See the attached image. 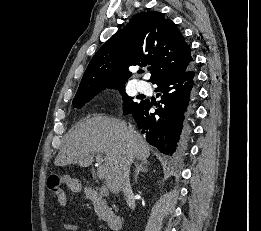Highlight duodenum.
<instances>
[{
    "mask_svg": "<svg viewBox=\"0 0 261 231\" xmlns=\"http://www.w3.org/2000/svg\"><path fill=\"white\" fill-rule=\"evenodd\" d=\"M83 193L93 202L97 213L103 217L111 230L118 231L121 228V219L111 212L103 195L90 187H83Z\"/></svg>",
    "mask_w": 261,
    "mask_h": 231,
    "instance_id": "410a0bca",
    "label": "duodenum"
}]
</instances>
